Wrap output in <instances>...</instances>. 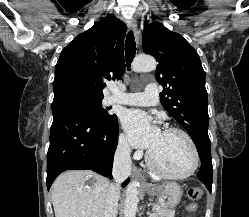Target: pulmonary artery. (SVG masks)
Returning <instances> with one entry per match:
<instances>
[{
    "label": "pulmonary artery",
    "mask_w": 249,
    "mask_h": 217,
    "mask_svg": "<svg viewBox=\"0 0 249 217\" xmlns=\"http://www.w3.org/2000/svg\"><path fill=\"white\" fill-rule=\"evenodd\" d=\"M158 101V88L154 84H149L143 92L120 93L111 98L112 103L139 106H154L158 103Z\"/></svg>",
    "instance_id": "pulmonary-artery-1"
}]
</instances>
